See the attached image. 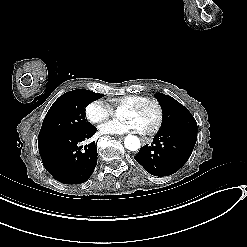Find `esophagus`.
Instances as JSON below:
<instances>
[{"instance_id": "esophagus-1", "label": "esophagus", "mask_w": 247, "mask_h": 247, "mask_svg": "<svg viewBox=\"0 0 247 247\" xmlns=\"http://www.w3.org/2000/svg\"><path fill=\"white\" fill-rule=\"evenodd\" d=\"M142 145H146V141L145 140H142Z\"/></svg>"}]
</instances>
